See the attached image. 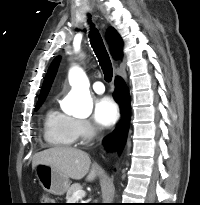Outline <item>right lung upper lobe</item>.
<instances>
[{"instance_id": "1", "label": "right lung upper lobe", "mask_w": 200, "mask_h": 205, "mask_svg": "<svg viewBox=\"0 0 200 205\" xmlns=\"http://www.w3.org/2000/svg\"><path fill=\"white\" fill-rule=\"evenodd\" d=\"M107 40H108V43L110 45V50H111L113 57L115 59H120L122 57V52H123V42H122V39L120 38L119 34L116 32L115 29L110 28L108 30ZM58 64H59V57L56 58L52 62L51 66L46 74V77H45V80L43 82V86H42V89H41V92L39 95V99L46 98V96L50 90L51 84L54 80V77L56 75Z\"/></svg>"}]
</instances>
